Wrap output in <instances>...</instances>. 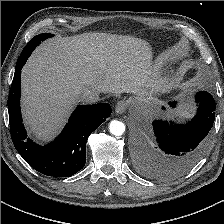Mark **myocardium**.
Wrapping results in <instances>:
<instances>
[{
    "mask_svg": "<svg viewBox=\"0 0 224 224\" xmlns=\"http://www.w3.org/2000/svg\"><path fill=\"white\" fill-rule=\"evenodd\" d=\"M165 82L166 80L164 78L158 79L155 84V89L156 90L161 89L164 86Z\"/></svg>",
    "mask_w": 224,
    "mask_h": 224,
    "instance_id": "f54148a6",
    "label": "myocardium"
}]
</instances>
